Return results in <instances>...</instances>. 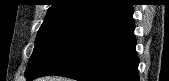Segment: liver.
Here are the masks:
<instances>
[{
	"label": "liver",
	"mask_w": 169,
	"mask_h": 81,
	"mask_svg": "<svg viewBox=\"0 0 169 81\" xmlns=\"http://www.w3.org/2000/svg\"><path fill=\"white\" fill-rule=\"evenodd\" d=\"M43 81H57L56 78H43Z\"/></svg>",
	"instance_id": "1"
}]
</instances>
